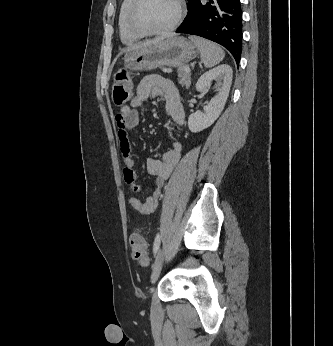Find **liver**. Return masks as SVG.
Segmentation results:
<instances>
[{"label":"liver","mask_w":333,"mask_h":346,"mask_svg":"<svg viewBox=\"0 0 333 346\" xmlns=\"http://www.w3.org/2000/svg\"><path fill=\"white\" fill-rule=\"evenodd\" d=\"M173 36H174V35H171V36H169L168 38H171V37H173ZM165 39H166V37H158V38H155V39H153V40H147V41H144V42H142V43H139V44H136V45H132V46L128 47L126 50H127V51H132V50L138 49V48H140V47H144V46H147V45L159 43V42H161V41H163V40H165Z\"/></svg>","instance_id":"6515ba94"}]
</instances>
